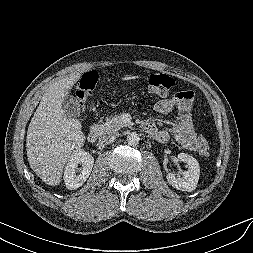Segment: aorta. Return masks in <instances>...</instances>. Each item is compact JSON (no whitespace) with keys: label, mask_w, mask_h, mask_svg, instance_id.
<instances>
[{"label":"aorta","mask_w":253,"mask_h":253,"mask_svg":"<svg viewBox=\"0 0 253 253\" xmlns=\"http://www.w3.org/2000/svg\"><path fill=\"white\" fill-rule=\"evenodd\" d=\"M140 137L136 132H130L127 135V143L130 146H135L139 143Z\"/></svg>","instance_id":"obj_1"}]
</instances>
